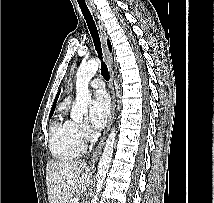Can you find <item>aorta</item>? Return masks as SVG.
Here are the masks:
<instances>
[{"label":"aorta","instance_id":"obj_1","mask_svg":"<svg viewBox=\"0 0 214 203\" xmlns=\"http://www.w3.org/2000/svg\"><path fill=\"white\" fill-rule=\"evenodd\" d=\"M100 66V60L94 59L86 63H82L76 74V104L71 111V118L74 121H81L83 116L88 111V104L91 102V94L89 92V82L95 75ZM116 137L115 128L112 129L103 150V154L99 160L97 169V184L96 194L92 200V203H97L99 193L102 190L106 175L110 168V163L113 155L114 142Z\"/></svg>","mask_w":214,"mask_h":203}]
</instances>
